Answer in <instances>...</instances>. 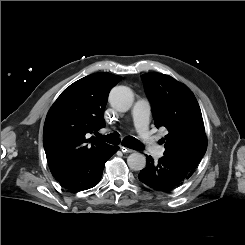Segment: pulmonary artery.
Masks as SVG:
<instances>
[{
	"instance_id": "1",
	"label": "pulmonary artery",
	"mask_w": 245,
	"mask_h": 245,
	"mask_svg": "<svg viewBox=\"0 0 245 245\" xmlns=\"http://www.w3.org/2000/svg\"><path fill=\"white\" fill-rule=\"evenodd\" d=\"M132 118L135 130L142 140L146 150L156 158H162L164 148L160 146L149 129L150 105L145 99L135 102L132 108Z\"/></svg>"
}]
</instances>
